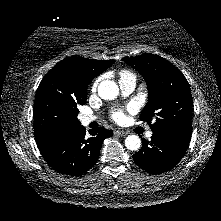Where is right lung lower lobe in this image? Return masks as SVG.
<instances>
[{
    "label": "right lung lower lobe",
    "mask_w": 221,
    "mask_h": 221,
    "mask_svg": "<svg viewBox=\"0 0 221 221\" xmlns=\"http://www.w3.org/2000/svg\"><path fill=\"white\" fill-rule=\"evenodd\" d=\"M89 134L79 125L40 149V153L57 172L79 177L96 164L103 140L113 133L98 128L89 130Z\"/></svg>",
    "instance_id": "1"
}]
</instances>
